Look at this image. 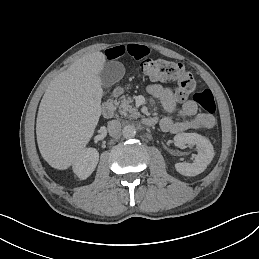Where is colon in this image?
Masks as SVG:
<instances>
[{
	"mask_svg": "<svg viewBox=\"0 0 259 259\" xmlns=\"http://www.w3.org/2000/svg\"><path fill=\"white\" fill-rule=\"evenodd\" d=\"M141 71L152 80L175 83L176 95L181 100L192 93L196 87L193 75L181 63L175 61L164 58L147 59L141 64ZM193 100L208 114H213L216 110L214 96L208 89L196 92Z\"/></svg>",
	"mask_w": 259,
	"mask_h": 259,
	"instance_id": "colon-1",
	"label": "colon"
}]
</instances>
